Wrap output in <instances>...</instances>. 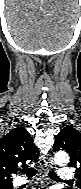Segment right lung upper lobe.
Wrapping results in <instances>:
<instances>
[{"label": "right lung upper lobe", "mask_w": 81, "mask_h": 189, "mask_svg": "<svg viewBox=\"0 0 81 189\" xmlns=\"http://www.w3.org/2000/svg\"><path fill=\"white\" fill-rule=\"evenodd\" d=\"M39 151L31 135L23 127H17L0 139V186L12 184L11 174H16L22 163L37 162Z\"/></svg>", "instance_id": "right-lung-upper-lobe-1"}]
</instances>
